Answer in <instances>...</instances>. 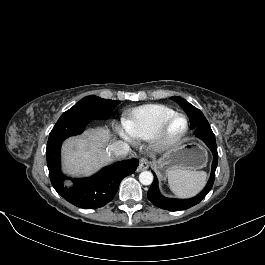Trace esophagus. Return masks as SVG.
I'll list each match as a JSON object with an SVG mask.
<instances>
[{
    "label": "esophagus",
    "mask_w": 265,
    "mask_h": 265,
    "mask_svg": "<svg viewBox=\"0 0 265 265\" xmlns=\"http://www.w3.org/2000/svg\"><path fill=\"white\" fill-rule=\"evenodd\" d=\"M150 164H151L150 160H148L146 158H142L140 160V164L138 166L137 171H142V170H145V169L149 168Z\"/></svg>",
    "instance_id": "obj_1"
}]
</instances>
